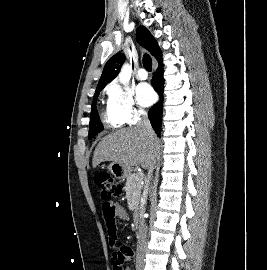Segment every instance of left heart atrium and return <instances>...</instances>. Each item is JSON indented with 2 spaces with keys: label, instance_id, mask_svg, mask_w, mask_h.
Masks as SVG:
<instances>
[{
  "label": "left heart atrium",
  "instance_id": "39dd6f15",
  "mask_svg": "<svg viewBox=\"0 0 267 270\" xmlns=\"http://www.w3.org/2000/svg\"><path fill=\"white\" fill-rule=\"evenodd\" d=\"M136 96L139 104L144 107L151 105L155 100L154 91L146 83H141L136 87Z\"/></svg>",
  "mask_w": 267,
  "mask_h": 270
}]
</instances>
